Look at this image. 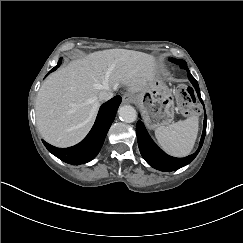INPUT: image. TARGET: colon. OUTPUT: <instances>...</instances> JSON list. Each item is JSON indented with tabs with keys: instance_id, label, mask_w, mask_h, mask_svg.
I'll return each mask as SVG.
<instances>
[{
	"instance_id": "colon-1",
	"label": "colon",
	"mask_w": 243,
	"mask_h": 243,
	"mask_svg": "<svg viewBox=\"0 0 243 243\" xmlns=\"http://www.w3.org/2000/svg\"><path fill=\"white\" fill-rule=\"evenodd\" d=\"M176 99L181 112L186 116H193L197 113L195 108V96L191 88L179 86L176 90Z\"/></svg>"
}]
</instances>
